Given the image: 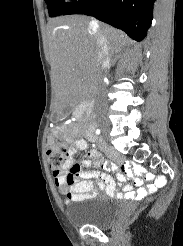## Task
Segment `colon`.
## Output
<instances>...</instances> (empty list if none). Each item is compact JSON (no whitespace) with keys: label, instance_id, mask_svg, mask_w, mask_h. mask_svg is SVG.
<instances>
[{"label":"colon","instance_id":"obj_1","mask_svg":"<svg viewBox=\"0 0 183 246\" xmlns=\"http://www.w3.org/2000/svg\"><path fill=\"white\" fill-rule=\"evenodd\" d=\"M47 158L50 167L58 171L64 167L66 162V149L60 139L55 136H48L47 138ZM76 171H70V173H75ZM132 214L129 215L131 217Z\"/></svg>","mask_w":183,"mask_h":246}]
</instances>
